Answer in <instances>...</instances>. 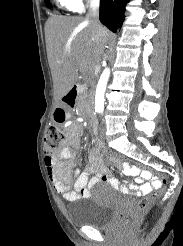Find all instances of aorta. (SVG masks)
<instances>
[{
    "label": "aorta",
    "instance_id": "aorta-1",
    "mask_svg": "<svg viewBox=\"0 0 183 246\" xmlns=\"http://www.w3.org/2000/svg\"><path fill=\"white\" fill-rule=\"evenodd\" d=\"M110 76V69L105 68L102 72L100 79L98 81L95 93V110H103L104 109V93L106 90L107 82Z\"/></svg>",
    "mask_w": 183,
    "mask_h": 246
}]
</instances>
